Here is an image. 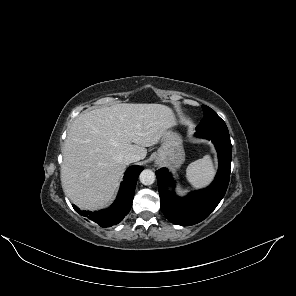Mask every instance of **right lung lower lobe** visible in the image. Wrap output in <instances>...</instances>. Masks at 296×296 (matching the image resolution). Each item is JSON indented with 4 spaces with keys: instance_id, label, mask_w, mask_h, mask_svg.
Returning <instances> with one entry per match:
<instances>
[{
    "instance_id": "obj_1",
    "label": "right lung lower lobe",
    "mask_w": 296,
    "mask_h": 296,
    "mask_svg": "<svg viewBox=\"0 0 296 296\" xmlns=\"http://www.w3.org/2000/svg\"><path fill=\"white\" fill-rule=\"evenodd\" d=\"M140 166H131L125 173L124 180L115 202L105 210L96 212L81 211L77 206L73 208L83 217L97 223L101 227H110L118 224L130 211L135 193L136 182L140 172Z\"/></svg>"
}]
</instances>
